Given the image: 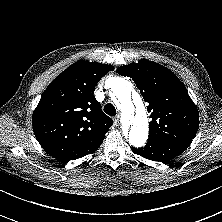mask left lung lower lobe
Masks as SVG:
<instances>
[{"mask_svg":"<svg viewBox=\"0 0 222 222\" xmlns=\"http://www.w3.org/2000/svg\"><path fill=\"white\" fill-rule=\"evenodd\" d=\"M189 144L179 140L148 139L145 147H131V149L135 154L146 159L167 163L185 151Z\"/></svg>","mask_w":222,"mask_h":222,"instance_id":"left-lung-lower-lobe-1","label":"left lung lower lobe"}]
</instances>
